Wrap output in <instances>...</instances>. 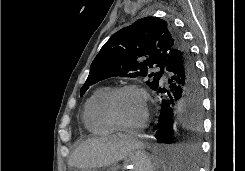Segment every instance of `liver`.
Wrapping results in <instances>:
<instances>
[{
  "label": "liver",
  "instance_id": "liver-1",
  "mask_svg": "<svg viewBox=\"0 0 245 171\" xmlns=\"http://www.w3.org/2000/svg\"><path fill=\"white\" fill-rule=\"evenodd\" d=\"M144 144L129 134L90 138L83 142L68 160V165L81 169L110 166L125 159L128 154Z\"/></svg>",
  "mask_w": 245,
  "mask_h": 171
}]
</instances>
